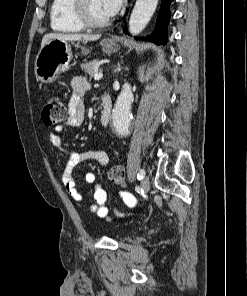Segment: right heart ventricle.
Instances as JSON below:
<instances>
[{"label":"right heart ventricle","mask_w":247,"mask_h":296,"mask_svg":"<svg viewBox=\"0 0 247 296\" xmlns=\"http://www.w3.org/2000/svg\"><path fill=\"white\" fill-rule=\"evenodd\" d=\"M73 0H52L50 26L58 33H77L83 30L73 17Z\"/></svg>","instance_id":"obj_1"}]
</instances>
